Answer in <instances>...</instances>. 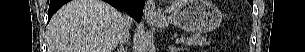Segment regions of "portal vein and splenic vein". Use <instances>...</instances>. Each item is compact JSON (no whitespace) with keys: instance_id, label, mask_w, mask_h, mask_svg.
<instances>
[{"instance_id":"portal-vein-and-splenic-vein-1","label":"portal vein and splenic vein","mask_w":305,"mask_h":52,"mask_svg":"<svg viewBox=\"0 0 305 52\" xmlns=\"http://www.w3.org/2000/svg\"><path fill=\"white\" fill-rule=\"evenodd\" d=\"M183 41H184V39H182V38H181V39H176V40H175V43H176V44H179L180 42H183Z\"/></svg>"}]
</instances>
